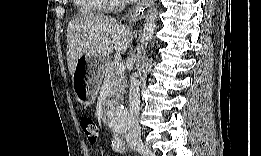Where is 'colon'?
<instances>
[{
    "label": "colon",
    "mask_w": 261,
    "mask_h": 156,
    "mask_svg": "<svg viewBox=\"0 0 261 156\" xmlns=\"http://www.w3.org/2000/svg\"><path fill=\"white\" fill-rule=\"evenodd\" d=\"M81 128L90 144H95L99 138V128L95 121L88 116H85L80 121Z\"/></svg>",
    "instance_id": "obj_1"
}]
</instances>
